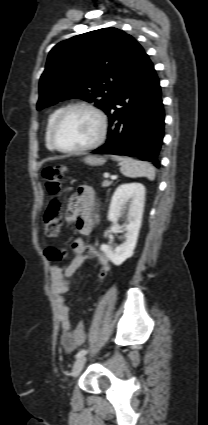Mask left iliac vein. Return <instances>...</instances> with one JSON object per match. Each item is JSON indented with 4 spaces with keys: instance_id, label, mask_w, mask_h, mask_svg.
Segmentation results:
<instances>
[{
    "instance_id": "4c4485c4",
    "label": "left iliac vein",
    "mask_w": 208,
    "mask_h": 425,
    "mask_svg": "<svg viewBox=\"0 0 208 425\" xmlns=\"http://www.w3.org/2000/svg\"><path fill=\"white\" fill-rule=\"evenodd\" d=\"M85 362H86L85 356H81V357L77 358V360L74 362L73 367H72V376L73 377H77L79 375V373L81 372Z\"/></svg>"
}]
</instances>
